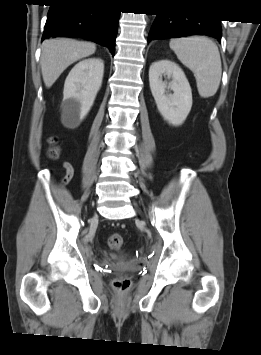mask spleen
I'll return each mask as SVG.
<instances>
[{
    "label": "spleen",
    "mask_w": 261,
    "mask_h": 355,
    "mask_svg": "<svg viewBox=\"0 0 261 355\" xmlns=\"http://www.w3.org/2000/svg\"><path fill=\"white\" fill-rule=\"evenodd\" d=\"M169 45L181 63L194 73L199 95L202 98L214 96L222 75L217 45L204 36L171 39Z\"/></svg>",
    "instance_id": "3e777b00"
}]
</instances>
